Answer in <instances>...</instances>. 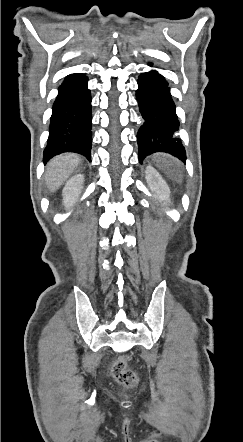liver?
Returning a JSON list of instances; mask_svg holds the SVG:
<instances>
[{
  "mask_svg": "<svg viewBox=\"0 0 243 442\" xmlns=\"http://www.w3.org/2000/svg\"><path fill=\"white\" fill-rule=\"evenodd\" d=\"M80 157L74 153L61 154L49 161L45 173V182L50 192H55L72 175Z\"/></svg>",
  "mask_w": 243,
  "mask_h": 442,
  "instance_id": "1",
  "label": "liver"
}]
</instances>
